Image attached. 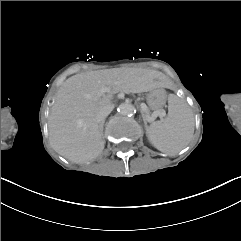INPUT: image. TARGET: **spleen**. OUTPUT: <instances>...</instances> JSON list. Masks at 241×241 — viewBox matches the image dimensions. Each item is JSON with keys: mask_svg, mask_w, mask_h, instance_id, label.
<instances>
[{"mask_svg": "<svg viewBox=\"0 0 241 241\" xmlns=\"http://www.w3.org/2000/svg\"><path fill=\"white\" fill-rule=\"evenodd\" d=\"M168 107V117L153 122L147 129V136L156 149L173 156L190 142L194 119L189 106L181 98H172Z\"/></svg>", "mask_w": 241, "mask_h": 241, "instance_id": "3e777b00", "label": "spleen"}]
</instances>
